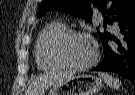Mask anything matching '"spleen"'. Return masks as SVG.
Wrapping results in <instances>:
<instances>
[{
	"label": "spleen",
	"instance_id": "1",
	"mask_svg": "<svg viewBox=\"0 0 135 95\" xmlns=\"http://www.w3.org/2000/svg\"><path fill=\"white\" fill-rule=\"evenodd\" d=\"M101 78L105 82L107 86H109L112 89L118 90L121 86V82L117 78H114L113 76L107 74V73H101L100 74Z\"/></svg>",
	"mask_w": 135,
	"mask_h": 95
}]
</instances>
